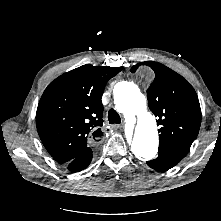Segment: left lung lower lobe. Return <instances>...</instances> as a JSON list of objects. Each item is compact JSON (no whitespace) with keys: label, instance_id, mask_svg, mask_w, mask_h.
I'll list each match as a JSON object with an SVG mask.
<instances>
[{"label":"left lung lower lobe","instance_id":"1","mask_svg":"<svg viewBox=\"0 0 221 221\" xmlns=\"http://www.w3.org/2000/svg\"><path fill=\"white\" fill-rule=\"evenodd\" d=\"M184 156V154L175 151L159 149L158 157L147 161V165L156 171H165L174 167Z\"/></svg>","mask_w":221,"mask_h":221}]
</instances>
